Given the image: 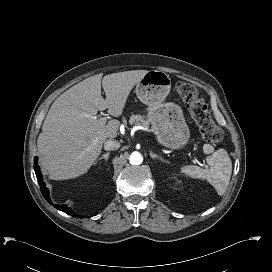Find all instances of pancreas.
<instances>
[{
	"instance_id": "1",
	"label": "pancreas",
	"mask_w": 272,
	"mask_h": 272,
	"mask_svg": "<svg viewBox=\"0 0 272 272\" xmlns=\"http://www.w3.org/2000/svg\"><path fill=\"white\" fill-rule=\"evenodd\" d=\"M129 123L130 124H135V125H141V126L146 127V128L149 127V121L144 116H142L140 114H138V115L133 114L130 117Z\"/></svg>"
}]
</instances>
